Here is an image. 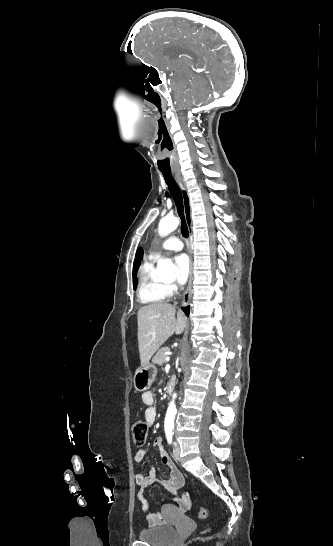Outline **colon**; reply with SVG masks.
I'll return each mask as SVG.
<instances>
[{"label": "colon", "mask_w": 333, "mask_h": 546, "mask_svg": "<svg viewBox=\"0 0 333 546\" xmlns=\"http://www.w3.org/2000/svg\"><path fill=\"white\" fill-rule=\"evenodd\" d=\"M132 439L137 447L145 445L147 440V425L141 420H137L132 426ZM207 510L202 507L198 511V517L200 519L207 518Z\"/></svg>", "instance_id": "1"}]
</instances>
